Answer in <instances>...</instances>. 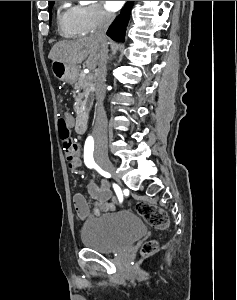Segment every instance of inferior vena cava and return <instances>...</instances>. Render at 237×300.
Here are the masks:
<instances>
[{
	"label": "inferior vena cava",
	"mask_w": 237,
	"mask_h": 300,
	"mask_svg": "<svg viewBox=\"0 0 237 300\" xmlns=\"http://www.w3.org/2000/svg\"><path fill=\"white\" fill-rule=\"evenodd\" d=\"M114 13L109 11H102L101 21L94 31L92 37L97 39L100 43V53L98 61V69H96V81H95V95H96V111H95V137H103L104 141L107 139L106 127V115L103 107V101L105 99V81H106V65L108 59V45H107V29L114 21Z\"/></svg>",
	"instance_id": "602c4592"
}]
</instances>
